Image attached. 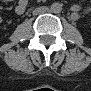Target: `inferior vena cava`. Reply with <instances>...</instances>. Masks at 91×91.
<instances>
[{
	"mask_svg": "<svg viewBox=\"0 0 91 91\" xmlns=\"http://www.w3.org/2000/svg\"><path fill=\"white\" fill-rule=\"evenodd\" d=\"M48 12H49V9L46 7H40L33 10L34 14H41V13H48Z\"/></svg>",
	"mask_w": 91,
	"mask_h": 91,
	"instance_id": "obj_1",
	"label": "inferior vena cava"
}]
</instances>
